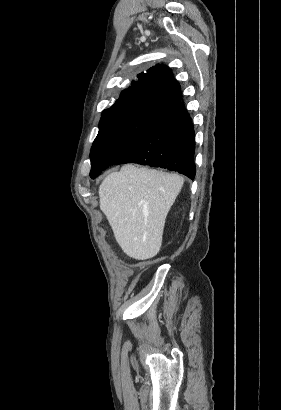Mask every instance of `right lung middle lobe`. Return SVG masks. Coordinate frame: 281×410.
<instances>
[{
	"instance_id": "right-lung-middle-lobe-1",
	"label": "right lung middle lobe",
	"mask_w": 281,
	"mask_h": 410,
	"mask_svg": "<svg viewBox=\"0 0 281 410\" xmlns=\"http://www.w3.org/2000/svg\"><path fill=\"white\" fill-rule=\"evenodd\" d=\"M166 112L146 104H124L104 110L91 148L90 177L94 179L108 168Z\"/></svg>"
}]
</instances>
